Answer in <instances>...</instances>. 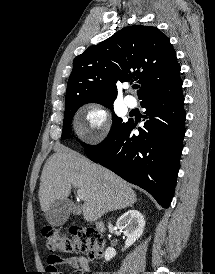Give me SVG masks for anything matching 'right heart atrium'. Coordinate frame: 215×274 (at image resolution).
Returning a JSON list of instances; mask_svg holds the SVG:
<instances>
[{
  "label": "right heart atrium",
  "mask_w": 215,
  "mask_h": 274,
  "mask_svg": "<svg viewBox=\"0 0 215 274\" xmlns=\"http://www.w3.org/2000/svg\"><path fill=\"white\" fill-rule=\"evenodd\" d=\"M81 116L82 120L77 127V133L82 140L96 144L107 137L111 129V119L102 104H86L81 110Z\"/></svg>",
  "instance_id": "obj_1"
}]
</instances>
